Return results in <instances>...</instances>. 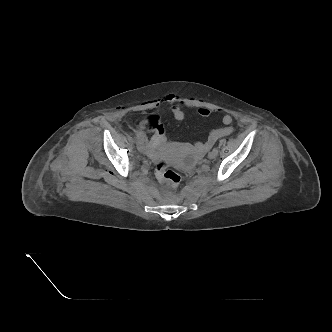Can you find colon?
Masks as SVG:
<instances>
[{
    "mask_svg": "<svg viewBox=\"0 0 332 332\" xmlns=\"http://www.w3.org/2000/svg\"><path fill=\"white\" fill-rule=\"evenodd\" d=\"M149 129L154 133V137L160 144L166 141L165 131L163 125L160 123L157 116L149 118ZM156 177L159 182L165 184L167 187L176 188L180 181V175L174 170L170 169L165 161L158 163L156 167Z\"/></svg>",
    "mask_w": 332,
    "mask_h": 332,
    "instance_id": "colon-1",
    "label": "colon"
}]
</instances>
